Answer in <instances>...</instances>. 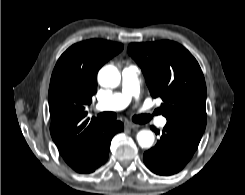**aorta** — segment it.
Wrapping results in <instances>:
<instances>
[{"label": "aorta", "mask_w": 245, "mask_h": 195, "mask_svg": "<svg viewBox=\"0 0 245 195\" xmlns=\"http://www.w3.org/2000/svg\"><path fill=\"white\" fill-rule=\"evenodd\" d=\"M121 81V75L115 66L107 65L98 73V82L103 87L116 88ZM137 142L142 148H150L154 143V134L150 130H141L137 133Z\"/></svg>", "instance_id": "762f6f07"}]
</instances>
